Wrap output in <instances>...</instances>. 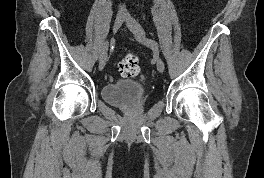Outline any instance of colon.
Returning a JSON list of instances; mask_svg holds the SVG:
<instances>
[{
	"instance_id": "5ec220e1",
	"label": "colon",
	"mask_w": 264,
	"mask_h": 178,
	"mask_svg": "<svg viewBox=\"0 0 264 178\" xmlns=\"http://www.w3.org/2000/svg\"><path fill=\"white\" fill-rule=\"evenodd\" d=\"M123 77L135 78L140 72L139 59L135 54H127L118 64Z\"/></svg>"
}]
</instances>
